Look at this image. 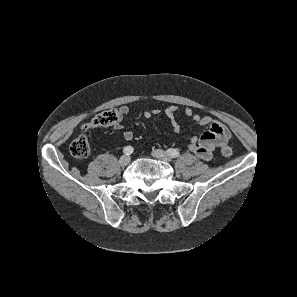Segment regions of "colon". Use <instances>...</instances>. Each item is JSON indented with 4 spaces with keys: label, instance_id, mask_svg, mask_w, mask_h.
<instances>
[{
    "label": "colon",
    "instance_id": "5ec220e1",
    "mask_svg": "<svg viewBox=\"0 0 297 297\" xmlns=\"http://www.w3.org/2000/svg\"><path fill=\"white\" fill-rule=\"evenodd\" d=\"M120 120L119 111L116 109L103 111L97 114L89 123L82 126L83 132L89 131L94 127L111 126ZM70 153L73 157L83 159L90 154V143L85 135H80L70 144ZM222 157L229 158L232 155V147L223 144L220 148Z\"/></svg>",
    "mask_w": 297,
    "mask_h": 297
}]
</instances>
